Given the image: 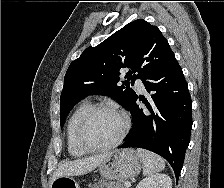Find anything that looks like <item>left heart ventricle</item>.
<instances>
[{
    "mask_svg": "<svg viewBox=\"0 0 224 188\" xmlns=\"http://www.w3.org/2000/svg\"><path fill=\"white\" fill-rule=\"evenodd\" d=\"M122 127L123 121L120 115L110 111H100L87 124L85 137L94 145L108 144L119 136Z\"/></svg>",
    "mask_w": 224,
    "mask_h": 188,
    "instance_id": "left-heart-ventricle-1",
    "label": "left heart ventricle"
}]
</instances>
